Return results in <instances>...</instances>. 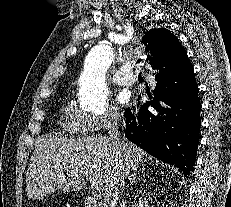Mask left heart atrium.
I'll return each mask as SVG.
<instances>
[{
    "label": "left heart atrium",
    "mask_w": 231,
    "mask_h": 207,
    "mask_svg": "<svg viewBox=\"0 0 231 207\" xmlns=\"http://www.w3.org/2000/svg\"><path fill=\"white\" fill-rule=\"evenodd\" d=\"M129 101V95L125 92L121 93L119 96H118V102L121 104V105H125L127 104Z\"/></svg>",
    "instance_id": "39dd6f15"
}]
</instances>
